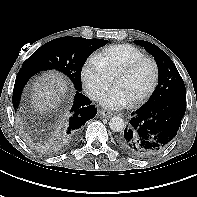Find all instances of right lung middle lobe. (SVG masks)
<instances>
[{"instance_id":"dd1d6c3e","label":"right lung middle lobe","mask_w":197,"mask_h":197,"mask_svg":"<svg viewBox=\"0 0 197 197\" xmlns=\"http://www.w3.org/2000/svg\"><path fill=\"white\" fill-rule=\"evenodd\" d=\"M107 40L85 39L82 37L56 38L41 46L22 65L37 72L55 69L63 72L81 91V70L89 55L106 45Z\"/></svg>"}]
</instances>
